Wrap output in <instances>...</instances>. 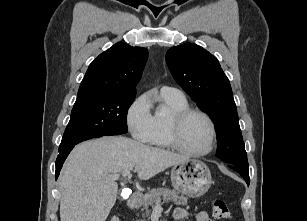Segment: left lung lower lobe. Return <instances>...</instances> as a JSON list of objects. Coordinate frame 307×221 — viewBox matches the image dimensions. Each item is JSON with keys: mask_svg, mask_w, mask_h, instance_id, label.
<instances>
[{"mask_svg": "<svg viewBox=\"0 0 307 221\" xmlns=\"http://www.w3.org/2000/svg\"><path fill=\"white\" fill-rule=\"evenodd\" d=\"M229 167L234 169L235 171H237L244 178L246 183L249 185V183H250L249 170H245V169H242L240 167L233 166V165H229Z\"/></svg>", "mask_w": 307, "mask_h": 221, "instance_id": "obj_1", "label": "left lung lower lobe"}]
</instances>
